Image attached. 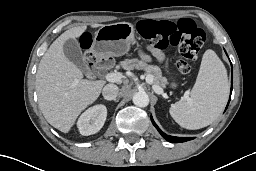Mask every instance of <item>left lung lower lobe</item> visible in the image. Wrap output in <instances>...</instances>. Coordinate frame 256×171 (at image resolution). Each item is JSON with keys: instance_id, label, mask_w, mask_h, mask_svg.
Returning a JSON list of instances; mask_svg holds the SVG:
<instances>
[{"instance_id": "left-lung-lower-lobe-1", "label": "left lung lower lobe", "mask_w": 256, "mask_h": 171, "mask_svg": "<svg viewBox=\"0 0 256 171\" xmlns=\"http://www.w3.org/2000/svg\"><path fill=\"white\" fill-rule=\"evenodd\" d=\"M231 90H232V86H231ZM229 104V102H228ZM227 108V107H226ZM151 121L153 123V125L156 127V129L159 131V133L169 142H173V143H180V142H185V141H189L192 140L193 137H174V136H169L166 135L165 133H163L159 127L156 125V123L154 122L152 116H151Z\"/></svg>"}]
</instances>
